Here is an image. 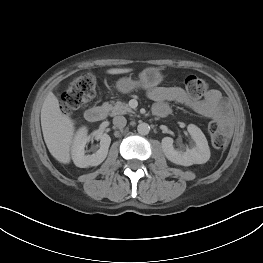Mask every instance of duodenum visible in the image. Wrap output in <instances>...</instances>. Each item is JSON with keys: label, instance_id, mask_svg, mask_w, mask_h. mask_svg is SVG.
Returning a JSON list of instances; mask_svg holds the SVG:
<instances>
[{"label": "duodenum", "instance_id": "410a0bca", "mask_svg": "<svg viewBox=\"0 0 263 263\" xmlns=\"http://www.w3.org/2000/svg\"><path fill=\"white\" fill-rule=\"evenodd\" d=\"M106 114H107V110L105 107L94 106V107H90L89 109H87L84 115H85V119L88 122L97 123V122L104 120L106 117ZM168 114H169V111L165 110V111H162L159 114V116L164 117V116H167Z\"/></svg>", "mask_w": 263, "mask_h": 263}]
</instances>
